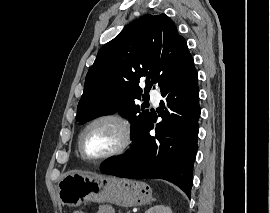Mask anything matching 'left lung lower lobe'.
<instances>
[{
    "mask_svg": "<svg viewBox=\"0 0 270 213\" xmlns=\"http://www.w3.org/2000/svg\"><path fill=\"white\" fill-rule=\"evenodd\" d=\"M198 74L192 65L161 89L165 103L162 121L156 126L151 119L135 134L131 149L105 162L104 174L134 179H164L179 186L190 197L193 164L197 152L200 116Z\"/></svg>",
    "mask_w": 270,
    "mask_h": 213,
    "instance_id": "1",
    "label": "left lung lower lobe"
}]
</instances>
